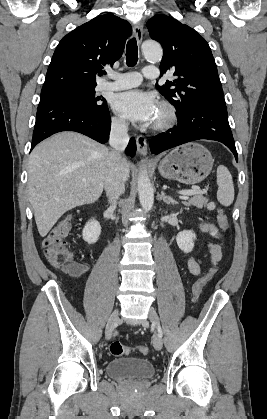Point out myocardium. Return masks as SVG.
<instances>
[{"mask_svg":"<svg viewBox=\"0 0 267 419\" xmlns=\"http://www.w3.org/2000/svg\"><path fill=\"white\" fill-rule=\"evenodd\" d=\"M159 109L163 113V117L159 121L153 123L152 130L163 132L174 127L178 118L175 107L167 101H162L159 104Z\"/></svg>","mask_w":267,"mask_h":419,"instance_id":"1","label":"myocardium"}]
</instances>
